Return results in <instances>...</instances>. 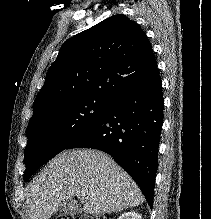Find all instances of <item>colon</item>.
I'll return each mask as SVG.
<instances>
[{
  "mask_svg": "<svg viewBox=\"0 0 211 219\" xmlns=\"http://www.w3.org/2000/svg\"><path fill=\"white\" fill-rule=\"evenodd\" d=\"M57 219H105V218L103 216H97V215H86V216H77V217L64 215L58 217Z\"/></svg>",
  "mask_w": 211,
  "mask_h": 219,
  "instance_id": "colon-1",
  "label": "colon"
}]
</instances>
